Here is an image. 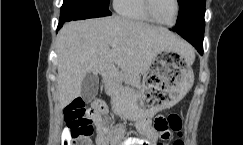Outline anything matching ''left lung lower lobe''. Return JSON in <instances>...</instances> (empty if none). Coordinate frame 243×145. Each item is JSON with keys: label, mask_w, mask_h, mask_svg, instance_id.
<instances>
[{"label": "left lung lower lobe", "mask_w": 243, "mask_h": 145, "mask_svg": "<svg viewBox=\"0 0 243 145\" xmlns=\"http://www.w3.org/2000/svg\"><path fill=\"white\" fill-rule=\"evenodd\" d=\"M174 31L190 42L200 54L203 53L204 31L196 22L188 21L184 15H178Z\"/></svg>", "instance_id": "obj_1"}]
</instances>
